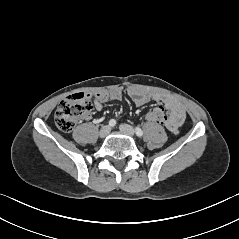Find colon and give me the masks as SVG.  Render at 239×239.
<instances>
[{
    "label": "colon",
    "instance_id": "colon-1",
    "mask_svg": "<svg viewBox=\"0 0 239 239\" xmlns=\"http://www.w3.org/2000/svg\"><path fill=\"white\" fill-rule=\"evenodd\" d=\"M93 108L89 95L75 93L64 98L55 112L56 126L63 132L73 130L77 121L90 113ZM146 120L149 123L159 121L164 124L166 121L165 111L162 108L149 109L146 112Z\"/></svg>",
    "mask_w": 239,
    "mask_h": 239
}]
</instances>
